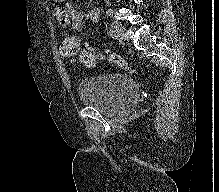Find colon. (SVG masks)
<instances>
[{"label":"colon","mask_w":219,"mask_h":192,"mask_svg":"<svg viewBox=\"0 0 219 192\" xmlns=\"http://www.w3.org/2000/svg\"><path fill=\"white\" fill-rule=\"evenodd\" d=\"M60 52L63 56L70 58H75V56L78 55L77 61L87 67H93L98 59L95 49L91 46H86L79 51L78 40L75 36H67L64 39L60 46ZM100 58L129 73L139 74L137 69L132 67L123 57L118 54L106 51L100 55Z\"/></svg>","instance_id":"1"}]
</instances>
